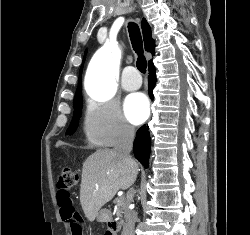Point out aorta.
I'll use <instances>...</instances> for the list:
<instances>
[{
  "label": "aorta",
  "mask_w": 250,
  "mask_h": 235,
  "mask_svg": "<svg viewBox=\"0 0 250 235\" xmlns=\"http://www.w3.org/2000/svg\"><path fill=\"white\" fill-rule=\"evenodd\" d=\"M117 72L113 51L105 45L96 52L91 61L87 79L88 93L100 101L110 99L115 92Z\"/></svg>",
  "instance_id": "1"
}]
</instances>
